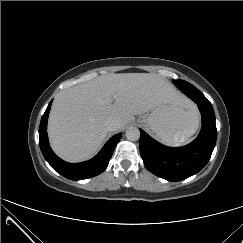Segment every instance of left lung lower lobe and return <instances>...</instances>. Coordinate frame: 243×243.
Masks as SVG:
<instances>
[{
    "label": "left lung lower lobe",
    "instance_id": "obj_1",
    "mask_svg": "<svg viewBox=\"0 0 243 243\" xmlns=\"http://www.w3.org/2000/svg\"><path fill=\"white\" fill-rule=\"evenodd\" d=\"M178 88L197 103L202 114V130L187 146L170 148L161 145L140 129V153L145 167L168 181L184 180L198 173L209 161L216 144L215 114L209 100L192 84Z\"/></svg>",
    "mask_w": 243,
    "mask_h": 243
}]
</instances>
